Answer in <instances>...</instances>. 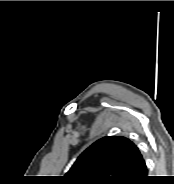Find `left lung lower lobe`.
I'll list each match as a JSON object with an SVG mask.
<instances>
[{"label": "left lung lower lobe", "mask_w": 174, "mask_h": 184, "mask_svg": "<svg viewBox=\"0 0 174 184\" xmlns=\"http://www.w3.org/2000/svg\"><path fill=\"white\" fill-rule=\"evenodd\" d=\"M147 167L145 165V162L141 156L136 160L134 169H133V174L131 179L128 181L127 184H145V182L148 180L147 176Z\"/></svg>", "instance_id": "left-lung-lower-lobe-1"}]
</instances>
